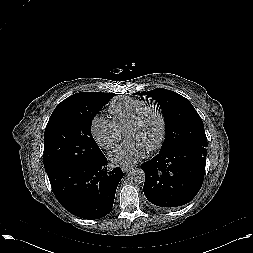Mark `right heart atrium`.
Segmentation results:
<instances>
[{
	"label": "right heart atrium",
	"mask_w": 253,
	"mask_h": 253,
	"mask_svg": "<svg viewBox=\"0 0 253 253\" xmlns=\"http://www.w3.org/2000/svg\"><path fill=\"white\" fill-rule=\"evenodd\" d=\"M91 134L101 148L110 150L118 142L119 130L113 121L96 116L91 122Z\"/></svg>",
	"instance_id": "right-heart-atrium-1"
}]
</instances>
